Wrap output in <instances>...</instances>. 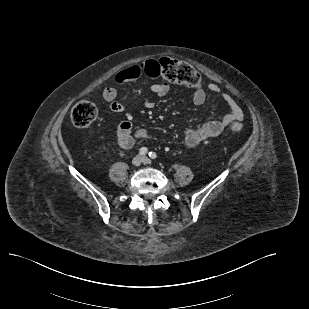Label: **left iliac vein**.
Listing matches in <instances>:
<instances>
[{
    "instance_id": "obj_1",
    "label": "left iliac vein",
    "mask_w": 309,
    "mask_h": 309,
    "mask_svg": "<svg viewBox=\"0 0 309 309\" xmlns=\"http://www.w3.org/2000/svg\"><path fill=\"white\" fill-rule=\"evenodd\" d=\"M143 158V163L144 164H150V159L147 157H142Z\"/></svg>"
}]
</instances>
